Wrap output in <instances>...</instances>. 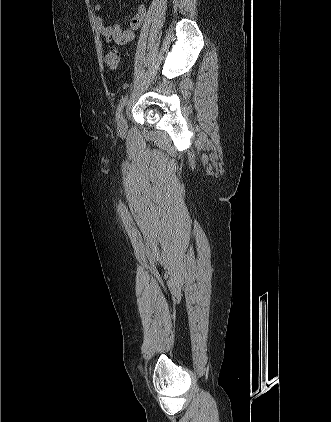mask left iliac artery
I'll list each match as a JSON object with an SVG mask.
<instances>
[{"label": "left iliac artery", "mask_w": 331, "mask_h": 422, "mask_svg": "<svg viewBox=\"0 0 331 422\" xmlns=\"http://www.w3.org/2000/svg\"><path fill=\"white\" fill-rule=\"evenodd\" d=\"M127 98H128V95H125L124 97H122V99L119 102V105L117 107V112H116L117 120H119V118H120V114H121V112H122V110H123V108L126 104Z\"/></svg>", "instance_id": "1"}]
</instances>
